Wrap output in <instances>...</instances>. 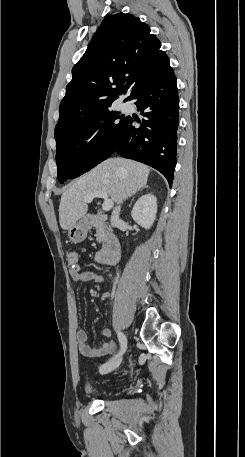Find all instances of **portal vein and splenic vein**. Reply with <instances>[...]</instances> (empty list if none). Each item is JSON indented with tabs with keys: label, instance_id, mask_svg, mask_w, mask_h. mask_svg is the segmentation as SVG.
Returning <instances> with one entry per match:
<instances>
[{
	"label": "portal vein and splenic vein",
	"instance_id": "obj_1",
	"mask_svg": "<svg viewBox=\"0 0 245 457\" xmlns=\"http://www.w3.org/2000/svg\"><path fill=\"white\" fill-rule=\"evenodd\" d=\"M95 196L104 198V202L102 204L103 210H110V208H112L114 202L111 198H109L107 192H104V190H93V192H90L89 196H85L84 202H91Z\"/></svg>",
	"mask_w": 245,
	"mask_h": 457
}]
</instances>
